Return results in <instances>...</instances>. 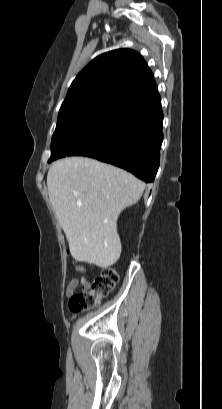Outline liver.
<instances>
[{
    "instance_id": "liver-1",
    "label": "liver",
    "mask_w": 222,
    "mask_h": 409,
    "mask_svg": "<svg viewBox=\"0 0 222 409\" xmlns=\"http://www.w3.org/2000/svg\"><path fill=\"white\" fill-rule=\"evenodd\" d=\"M47 187L72 256L100 268L115 264L122 251L117 219L138 202L144 183L95 159L68 157L49 168Z\"/></svg>"
}]
</instances>
